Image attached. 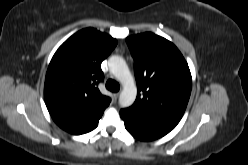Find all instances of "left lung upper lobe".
<instances>
[{"label": "left lung upper lobe", "mask_w": 248, "mask_h": 165, "mask_svg": "<svg viewBox=\"0 0 248 165\" xmlns=\"http://www.w3.org/2000/svg\"><path fill=\"white\" fill-rule=\"evenodd\" d=\"M126 42L134 58L138 94L134 104L122 110L173 129L191 94L187 62L172 42L150 32L127 37Z\"/></svg>", "instance_id": "left-lung-upper-lobe-1"}]
</instances>
